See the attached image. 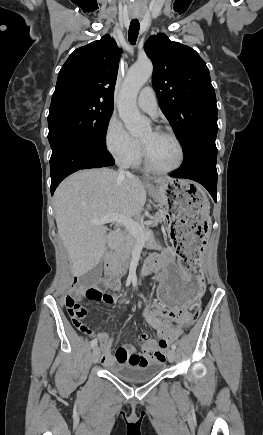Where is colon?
<instances>
[{"mask_svg":"<svg viewBox=\"0 0 263 435\" xmlns=\"http://www.w3.org/2000/svg\"><path fill=\"white\" fill-rule=\"evenodd\" d=\"M73 287L75 290H80L81 293L89 300L104 302V303H110L113 301V296L104 293L102 290V286L100 285L86 286L75 282ZM66 307L74 326L81 332L90 334L91 333L90 329L83 322V318L86 316V309L79 303L78 299L72 295L67 296ZM200 313H201V306L195 305L194 311L190 316V319L184 324H182L181 328L187 329L188 327H190V325H192L198 319ZM172 327L174 329H177L179 326L177 324H174ZM157 341H161V336Z\"/></svg>","mask_w":263,"mask_h":435,"instance_id":"colon-1","label":"colon"}]
</instances>
